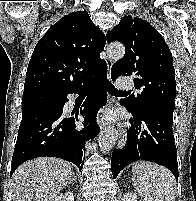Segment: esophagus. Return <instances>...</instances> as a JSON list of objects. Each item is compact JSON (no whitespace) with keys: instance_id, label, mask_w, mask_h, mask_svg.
Instances as JSON below:
<instances>
[{"instance_id":"1","label":"esophagus","mask_w":196,"mask_h":201,"mask_svg":"<svg viewBox=\"0 0 196 201\" xmlns=\"http://www.w3.org/2000/svg\"><path fill=\"white\" fill-rule=\"evenodd\" d=\"M113 62L111 59L107 60V65H108V79L112 81V76H111V66ZM109 105L112 106L113 103L112 101H109ZM106 127H102L101 132L105 130ZM127 140V135H126V130L121 127L119 130V136H118V148L124 147L125 143Z\"/></svg>"}]
</instances>
